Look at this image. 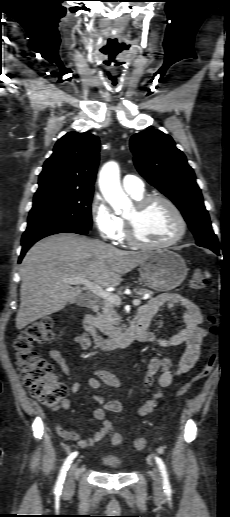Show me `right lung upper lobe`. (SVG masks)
Listing matches in <instances>:
<instances>
[{
    "label": "right lung upper lobe",
    "mask_w": 230,
    "mask_h": 517,
    "mask_svg": "<svg viewBox=\"0 0 230 517\" xmlns=\"http://www.w3.org/2000/svg\"><path fill=\"white\" fill-rule=\"evenodd\" d=\"M100 142L90 133L70 132L59 139L43 165L34 198L56 193L93 191Z\"/></svg>",
    "instance_id": "1"
}]
</instances>
